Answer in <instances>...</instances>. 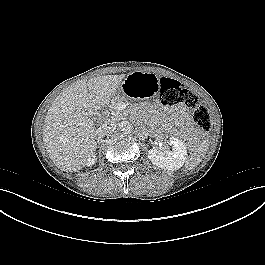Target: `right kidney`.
<instances>
[{
    "mask_svg": "<svg viewBox=\"0 0 265 265\" xmlns=\"http://www.w3.org/2000/svg\"><path fill=\"white\" fill-rule=\"evenodd\" d=\"M95 161H96V156L95 155L90 156L86 161V166L90 167L94 165Z\"/></svg>",
    "mask_w": 265,
    "mask_h": 265,
    "instance_id": "obj_1",
    "label": "right kidney"
}]
</instances>
